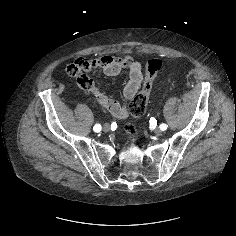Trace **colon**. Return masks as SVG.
I'll use <instances>...</instances> for the list:
<instances>
[{"instance_id": "colon-1", "label": "colon", "mask_w": 236, "mask_h": 236, "mask_svg": "<svg viewBox=\"0 0 236 236\" xmlns=\"http://www.w3.org/2000/svg\"><path fill=\"white\" fill-rule=\"evenodd\" d=\"M79 61L80 60H76L74 62H79ZM72 63L67 65V68H66L67 73H68V68ZM161 67H162V61L159 58H151L147 60L145 64V70H144V80H143L142 90L140 91L139 94H137L134 97V99L130 103L131 104L130 113L134 117L136 118L141 117L145 113L146 106L148 103L149 93L152 89L157 73L159 72ZM125 129H126V133L130 137H134L137 134L136 127L131 123L127 124L125 126Z\"/></svg>"}]
</instances>
